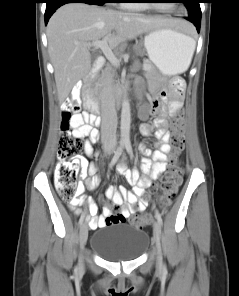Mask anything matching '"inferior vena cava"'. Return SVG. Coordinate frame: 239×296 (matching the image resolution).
I'll return each instance as SVG.
<instances>
[{
  "label": "inferior vena cava",
  "instance_id": "inferior-vena-cava-1",
  "mask_svg": "<svg viewBox=\"0 0 239 296\" xmlns=\"http://www.w3.org/2000/svg\"><path fill=\"white\" fill-rule=\"evenodd\" d=\"M101 139L104 144L116 146L117 113L113 88V75L107 68L103 75L100 90Z\"/></svg>",
  "mask_w": 239,
  "mask_h": 296
}]
</instances>
